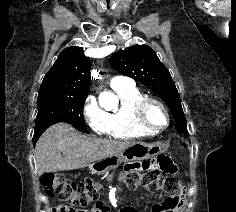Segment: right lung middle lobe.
Here are the masks:
<instances>
[{
  "instance_id": "1",
  "label": "right lung middle lobe",
  "mask_w": 236,
  "mask_h": 212,
  "mask_svg": "<svg viewBox=\"0 0 236 212\" xmlns=\"http://www.w3.org/2000/svg\"><path fill=\"white\" fill-rule=\"evenodd\" d=\"M87 95L77 97L38 98V114L33 136L35 145L41 134L51 125L66 122L77 130L87 132L83 120V106Z\"/></svg>"
}]
</instances>
